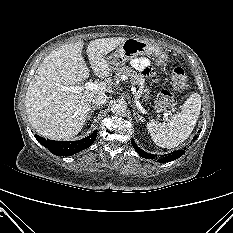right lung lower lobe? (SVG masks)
I'll list each match as a JSON object with an SVG mask.
<instances>
[{
	"label": "right lung lower lobe",
	"instance_id": "1",
	"mask_svg": "<svg viewBox=\"0 0 233 233\" xmlns=\"http://www.w3.org/2000/svg\"><path fill=\"white\" fill-rule=\"evenodd\" d=\"M96 136L97 130H95L90 136L78 141H54L42 138L39 135H36L35 137L51 153L57 156H71L90 147L95 141Z\"/></svg>",
	"mask_w": 233,
	"mask_h": 233
}]
</instances>
